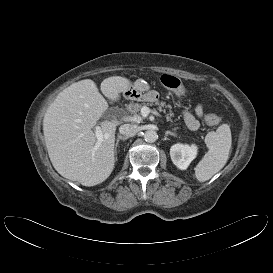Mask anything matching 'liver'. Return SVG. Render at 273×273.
I'll use <instances>...</instances> for the list:
<instances>
[{
    "label": "liver",
    "instance_id": "1",
    "mask_svg": "<svg viewBox=\"0 0 273 273\" xmlns=\"http://www.w3.org/2000/svg\"><path fill=\"white\" fill-rule=\"evenodd\" d=\"M131 85L125 77L112 76L100 88L105 97L117 101ZM107 109V101L91 79L65 88L49 106L43 119L44 138L51 163L61 176L84 186L100 184L110 176L116 124L101 123L102 140L92 130Z\"/></svg>",
    "mask_w": 273,
    "mask_h": 273
}]
</instances>
